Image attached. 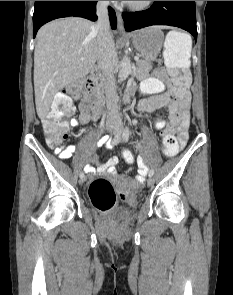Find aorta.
<instances>
[{
  "label": "aorta",
  "mask_w": 233,
  "mask_h": 295,
  "mask_svg": "<svg viewBox=\"0 0 233 295\" xmlns=\"http://www.w3.org/2000/svg\"><path fill=\"white\" fill-rule=\"evenodd\" d=\"M131 72V61L127 55H125L120 62L119 79L125 80Z\"/></svg>",
  "instance_id": "762f6f07"
}]
</instances>
